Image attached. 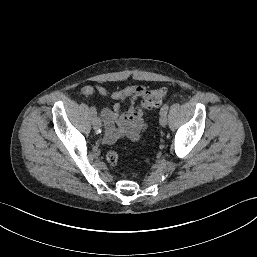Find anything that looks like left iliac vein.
I'll use <instances>...</instances> for the list:
<instances>
[{
  "mask_svg": "<svg viewBox=\"0 0 257 257\" xmlns=\"http://www.w3.org/2000/svg\"><path fill=\"white\" fill-rule=\"evenodd\" d=\"M159 123L163 127H165L167 125V116H166V114H161L160 115Z\"/></svg>",
  "mask_w": 257,
  "mask_h": 257,
  "instance_id": "1",
  "label": "left iliac vein"
}]
</instances>
